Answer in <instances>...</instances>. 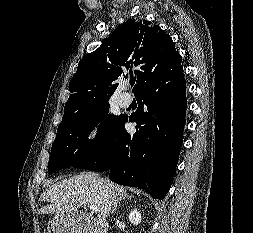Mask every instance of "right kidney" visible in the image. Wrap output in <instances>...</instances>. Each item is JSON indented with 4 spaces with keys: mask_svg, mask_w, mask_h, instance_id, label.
<instances>
[{
    "mask_svg": "<svg viewBox=\"0 0 253 233\" xmlns=\"http://www.w3.org/2000/svg\"><path fill=\"white\" fill-rule=\"evenodd\" d=\"M129 220L133 225H138L141 223V213L135 208L129 214Z\"/></svg>",
    "mask_w": 253,
    "mask_h": 233,
    "instance_id": "right-kidney-1",
    "label": "right kidney"
}]
</instances>
